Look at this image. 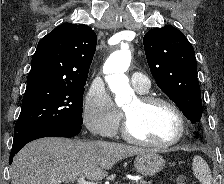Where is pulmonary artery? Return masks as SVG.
<instances>
[{"mask_svg": "<svg viewBox=\"0 0 224 184\" xmlns=\"http://www.w3.org/2000/svg\"><path fill=\"white\" fill-rule=\"evenodd\" d=\"M130 79L133 87L138 92H146L150 88V81L146 75L141 72H132L130 74Z\"/></svg>", "mask_w": 224, "mask_h": 184, "instance_id": "1", "label": "pulmonary artery"}]
</instances>
